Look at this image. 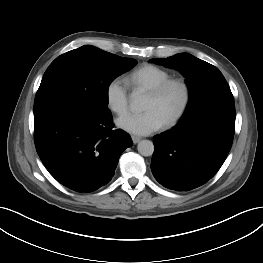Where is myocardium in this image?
<instances>
[{"label": "myocardium", "mask_w": 263, "mask_h": 263, "mask_svg": "<svg viewBox=\"0 0 263 263\" xmlns=\"http://www.w3.org/2000/svg\"><path fill=\"white\" fill-rule=\"evenodd\" d=\"M172 87L180 88L182 92V100L177 108V110L164 122L165 127H170L176 124L182 116L185 114L186 110L191 101V88L189 83L183 78H169L156 87L148 90V94L155 97H163Z\"/></svg>", "instance_id": "myocardium-1"}]
</instances>
